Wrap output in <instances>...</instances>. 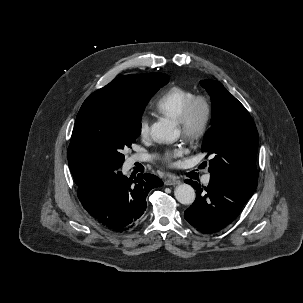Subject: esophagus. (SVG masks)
<instances>
[{
    "mask_svg": "<svg viewBox=\"0 0 303 303\" xmlns=\"http://www.w3.org/2000/svg\"><path fill=\"white\" fill-rule=\"evenodd\" d=\"M165 185H167V186H171V185H178V184H180L181 183V181L179 180V179H177V178H173V179H167L165 182Z\"/></svg>",
    "mask_w": 303,
    "mask_h": 303,
    "instance_id": "esophagus-1",
    "label": "esophagus"
}]
</instances>
